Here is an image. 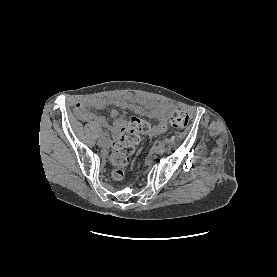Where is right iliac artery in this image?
Returning a JSON list of instances; mask_svg holds the SVG:
<instances>
[{"label": "right iliac artery", "instance_id": "82829eb1", "mask_svg": "<svg viewBox=\"0 0 277 277\" xmlns=\"http://www.w3.org/2000/svg\"><path fill=\"white\" fill-rule=\"evenodd\" d=\"M107 137V133L106 132H103L100 134V138H106Z\"/></svg>", "mask_w": 277, "mask_h": 277}]
</instances>
